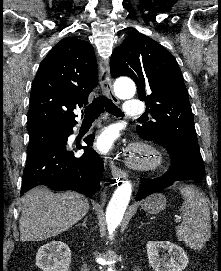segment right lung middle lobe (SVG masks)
<instances>
[{"instance_id": "obj_1", "label": "right lung middle lobe", "mask_w": 221, "mask_h": 271, "mask_svg": "<svg viewBox=\"0 0 221 271\" xmlns=\"http://www.w3.org/2000/svg\"><path fill=\"white\" fill-rule=\"evenodd\" d=\"M69 130L70 127L49 126L28 131L29 145L27 152L45 145L63 143Z\"/></svg>"}]
</instances>
